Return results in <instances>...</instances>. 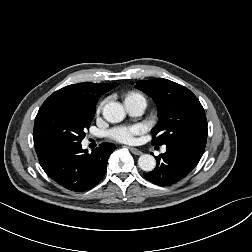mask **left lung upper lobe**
I'll return each instance as SVG.
<instances>
[{"label":"left lung upper lobe","instance_id":"1","mask_svg":"<svg viewBox=\"0 0 252 252\" xmlns=\"http://www.w3.org/2000/svg\"><path fill=\"white\" fill-rule=\"evenodd\" d=\"M135 87L150 95L158 106L159 122L152 129V145H167L182 140L206 143L205 112L189 89L162 78L140 80Z\"/></svg>","mask_w":252,"mask_h":252}]
</instances>
